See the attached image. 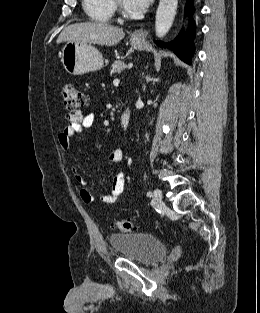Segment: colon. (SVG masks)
I'll return each mask as SVG.
<instances>
[{
	"label": "colon",
	"mask_w": 260,
	"mask_h": 313,
	"mask_svg": "<svg viewBox=\"0 0 260 313\" xmlns=\"http://www.w3.org/2000/svg\"><path fill=\"white\" fill-rule=\"evenodd\" d=\"M64 107L69 111H76L85 105V96L73 83H65L62 86ZM113 227L121 233H129L135 230V224L129 220H115Z\"/></svg>",
	"instance_id": "5ec220e1"
}]
</instances>
